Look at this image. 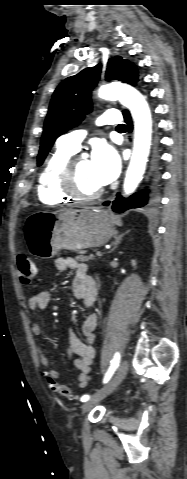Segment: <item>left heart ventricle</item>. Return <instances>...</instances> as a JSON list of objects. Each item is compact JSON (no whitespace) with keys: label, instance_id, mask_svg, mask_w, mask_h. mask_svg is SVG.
<instances>
[{"label":"left heart ventricle","instance_id":"obj_1","mask_svg":"<svg viewBox=\"0 0 187 479\" xmlns=\"http://www.w3.org/2000/svg\"><path fill=\"white\" fill-rule=\"evenodd\" d=\"M78 184L80 189L87 194L93 193L101 187L95 180L89 159L80 158L78 162Z\"/></svg>","mask_w":187,"mask_h":479}]
</instances>
